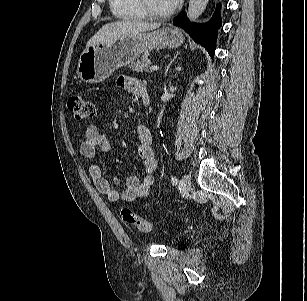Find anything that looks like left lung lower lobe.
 <instances>
[{
	"label": "left lung lower lobe",
	"mask_w": 307,
	"mask_h": 301,
	"mask_svg": "<svg viewBox=\"0 0 307 301\" xmlns=\"http://www.w3.org/2000/svg\"><path fill=\"white\" fill-rule=\"evenodd\" d=\"M219 9L220 6H217L211 20L205 24L190 22L185 12H182L173 20L174 25L184 28L195 42L202 45L208 51L211 57H214L216 35L218 28L221 26Z\"/></svg>",
	"instance_id": "1"
}]
</instances>
